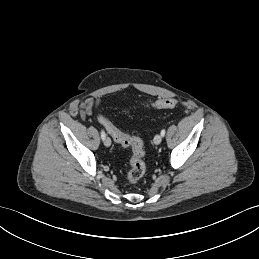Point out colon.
Returning <instances> with one entry per match:
<instances>
[{"mask_svg": "<svg viewBox=\"0 0 259 259\" xmlns=\"http://www.w3.org/2000/svg\"><path fill=\"white\" fill-rule=\"evenodd\" d=\"M178 104L177 100L172 98L159 99L147 105L150 109L174 108ZM101 123L108 134L119 144L128 147L132 151L130 158V169L127 173V180L131 184L140 181L146 171L144 161L145 151L143 142L140 138L128 135L116 128L106 117H101Z\"/></svg>", "mask_w": 259, "mask_h": 259, "instance_id": "5ec220e1", "label": "colon"}]
</instances>
